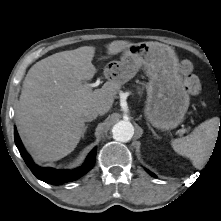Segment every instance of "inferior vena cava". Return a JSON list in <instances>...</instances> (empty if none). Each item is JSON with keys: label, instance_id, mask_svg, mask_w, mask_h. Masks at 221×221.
Listing matches in <instances>:
<instances>
[{"label": "inferior vena cava", "instance_id": "1", "mask_svg": "<svg viewBox=\"0 0 221 221\" xmlns=\"http://www.w3.org/2000/svg\"><path fill=\"white\" fill-rule=\"evenodd\" d=\"M99 108L97 107H89L87 109H84L82 112V118L85 122H90L97 118L99 115Z\"/></svg>", "mask_w": 221, "mask_h": 221}]
</instances>
